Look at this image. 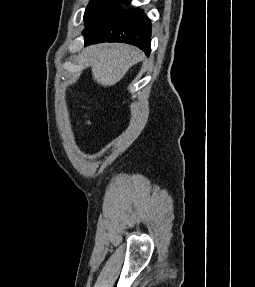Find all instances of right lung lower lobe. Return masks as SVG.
<instances>
[{
    "instance_id": "1",
    "label": "right lung lower lobe",
    "mask_w": 255,
    "mask_h": 287,
    "mask_svg": "<svg viewBox=\"0 0 255 287\" xmlns=\"http://www.w3.org/2000/svg\"><path fill=\"white\" fill-rule=\"evenodd\" d=\"M84 33L85 45L124 42L150 54L151 23L140 9H122Z\"/></svg>"
}]
</instances>
